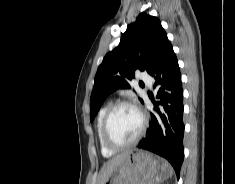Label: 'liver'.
<instances>
[{
    "label": "liver",
    "instance_id": "liver-1",
    "mask_svg": "<svg viewBox=\"0 0 235 184\" xmlns=\"http://www.w3.org/2000/svg\"><path fill=\"white\" fill-rule=\"evenodd\" d=\"M128 154H131V152H125V154H119V156H115V158H112V160H109V162H106V164H104L103 168H101L99 172V176L97 178V184H105L114 166H120V164H123Z\"/></svg>",
    "mask_w": 235,
    "mask_h": 184
}]
</instances>
